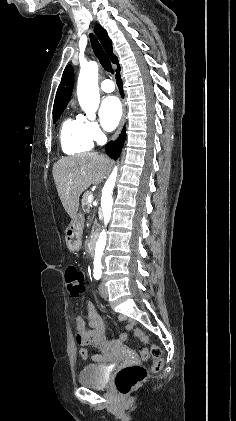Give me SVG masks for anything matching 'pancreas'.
Wrapping results in <instances>:
<instances>
[{
  "label": "pancreas",
  "mask_w": 236,
  "mask_h": 421,
  "mask_svg": "<svg viewBox=\"0 0 236 421\" xmlns=\"http://www.w3.org/2000/svg\"><path fill=\"white\" fill-rule=\"evenodd\" d=\"M89 194H91V192L87 190V192H84V196L82 198V208H83L84 213H89V202H88Z\"/></svg>",
  "instance_id": "obj_1"
}]
</instances>
